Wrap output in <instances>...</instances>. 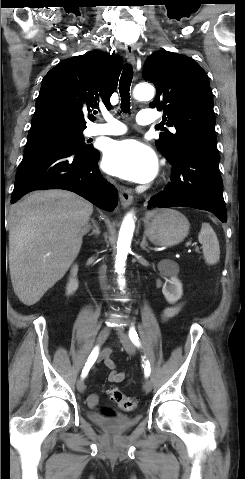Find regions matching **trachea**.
<instances>
[{"instance_id":"3493384b","label":"trachea","mask_w":245,"mask_h":479,"mask_svg":"<svg viewBox=\"0 0 245 479\" xmlns=\"http://www.w3.org/2000/svg\"><path fill=\"white\" fill-rule=\"evenodd\" d=\"M132 68L130 65H125L123 72L121 74L120 83H119V93L121 97V109L123 112L127 113L130 110V86L132 82Z\"/></svg>"}]
</instances>
